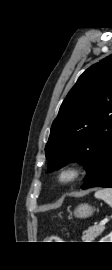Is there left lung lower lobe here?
I'll list each match as a JSON object with an SVG mask.
<instances>
[{
	"instance_id": "obj_1",
	"label": "left lung lower lobe",
	"mask_w": 112,
	"mask_h": 270,
	"mask_svg": "<svg viewBox=\"0 0 112 270\" xmlns=\"http://www.w3.org/2000/svg\"><path fill=\"white\" fill-rule=\"evenodd\" d=\"M92 187H112V145L105 153L100 170L81 186L82 189Z\"/></svg>"
}]
</instances>
